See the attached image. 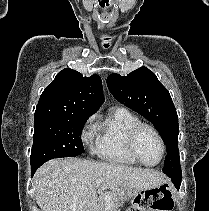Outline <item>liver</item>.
<instances>
[{
  "label": "liver",
  "mask_w": 209,
  "mask_h": 211,
  "mask_svg": "<svg viewBox=\"0 0 209 211\" xmlns=\"http://www.w3.org/2000/svg\"><path fill=\"white\" fill-rule=\"evenodd\" d=\"M96 180L102 189L123 194L125 189L146 191L164 182L154 170L80 158L53 159L35 173L36 202L41 211H100Z\"/></svg>",
  "instance_id": "obj_1"
}]
</instances>
